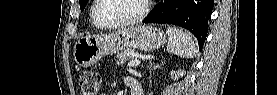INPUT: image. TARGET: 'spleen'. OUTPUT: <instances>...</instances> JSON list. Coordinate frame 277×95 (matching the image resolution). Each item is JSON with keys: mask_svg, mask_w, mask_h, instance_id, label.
Segmentation results:
<instances>
[{"mask_svg": "<svg viewBox=\"0 0 277 95\" xmlns=\"http://www.w3.org/2000/svg\"><path fill=\"white\" fill-rule=\"evenodd\" d=\"M168 52L180 57L192 58L196 54V46L191 36L176 27L167 28Z\"/></svg>", "mask_w": 277, "mask_h": 95, "instance_id": "3e777b00", "label": "spleen"}]
</instances>
